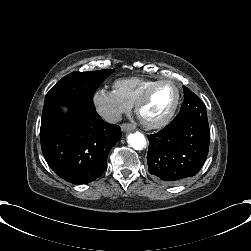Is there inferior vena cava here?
Wrapping results in <instances>:
<instances>
[{
	"mask_svg": "<svg viewBox=\"0 0 251 251\" xmlns=\"http://www.w3.org/2000/svg\"><path fill=\"white\" fill-rule=\"evenodd\" d=\"M102 118L108 123H116L122 120V115L119 112H106Z\"/></svg>",
	"mask_w": 251,
	"mask_h": 251,
	"instance_id": "1",
	"label": "inferior vena cava"
}]
</instances>
